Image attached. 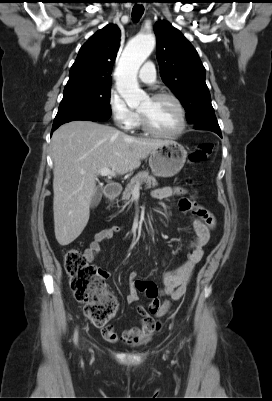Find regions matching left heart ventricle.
<instances>
[{
  "mask_svg": "<svg viewBox=\"0 0 272 401\" xmlns=\"http://www.w3.org/2000/svg\"><path fill=\"white\" fill-rule=\"evenodd\" d=\"M155 129L162 132L175 131L180 125V113L171 99H146L139 108Z\"/></svg>",
  "mask_w": 272,
  "mask_h": 401,
  "instance_id": "left-heart-ventricle-1",
  "label": "left heart ventricle"
}]
</instances>
